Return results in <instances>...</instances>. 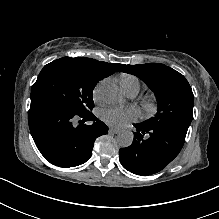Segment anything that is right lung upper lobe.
Segmentation results:
<instances>
[{"label":"right lung upper lobe","instance_id":"cb5924a9","mask_svg":"<svg viewBox=\"0 0 219 219\" xmlns=\"http://www.w3.org/2000/svg\"><path fill=\"white\" fill-rule=\"evenodd\" d=\"M66 58H70V57H66ZM72 59L80 60L82 62H85V63L93 66L96 69L107 70V71H111L112 73H114L116 71H120L125 66L124 64H117V63H110L109 64L106 62L97 61V60L90 59V58H72Z\"/></svg>","mask_w":219,"mask_h":219}]
</instances>
